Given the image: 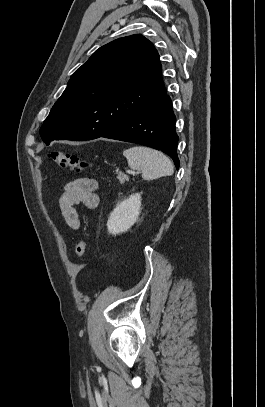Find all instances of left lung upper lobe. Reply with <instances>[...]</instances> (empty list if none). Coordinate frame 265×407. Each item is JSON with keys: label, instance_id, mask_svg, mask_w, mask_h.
<instances>
[{"label": "left lung upper lobe", "instance_id": "left-lung-upper-lobe-1", "mask_svg": "<svg viewBox=\"0 0 265 407\" xmlns=\"http://www.w3.org/2000/svg\"><path fill=\"white\" fill-rule=\"evenodd\" d=\"M159 54L144 36L118 38L77 69L40 129L42 140H91L155 102L166 90Z\"/></svg>", "mask_w": 265, "mask_h": 407}]
</instances>
